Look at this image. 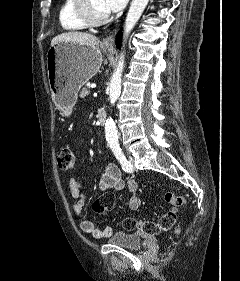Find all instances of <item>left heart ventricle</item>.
<instances>
[{"instance_id":"obj_1","label":"left heart ventricle","mask_w":240,"mask_h":281,"mask_svg":"<svg viewBox=\"0 0 240 281\" xmlns=\"http://www.w3.org/2000/svg\"><path fill=\"white\" fill-rule=\"evenodd\" d=\"M96 9L101 13H107L104 0H93Z\"/></svg>"}]
</instances>
